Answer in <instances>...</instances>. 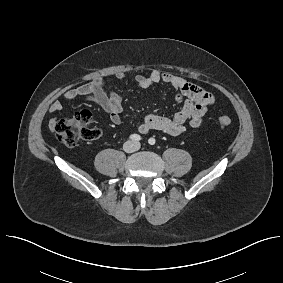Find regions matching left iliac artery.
<instances>
[{
	"instance_id": "44dca946",
	"label": "left iliac artery",
	"mask_w": 283,
	"mask_h": 283,
	"mask_svg": "<svg viewBox=\"0 0 283 283\" xmlns=\"http://www.w3.org/2000/svg\"><path fill=\"white\" fill-rule=\"evenodd\" d=\"M148 143L150 145H154L155 144V139L154 138H149Z\"/></svg>"
}]
</instances>
